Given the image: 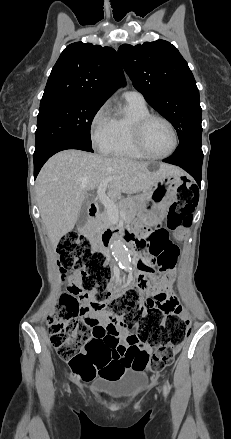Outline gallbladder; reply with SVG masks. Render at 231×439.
Instances as JSON below:
<instances>
[{
  "label": "gallbladder",
  "instance_id": "1",
  "mask_svg": "<svg viewBox=\"0 0 231 439\" xmlns=\"http://www.w3.org/2000/svg\"><path fill=\"white\" fill-rule=\"evenodd\" d=\"M87 209H88V200L85 199L83 204H82V207H81V210L79 213V217H78V221H77V224L80 227H83L87 221Z\"/></svg>",
  "mask_w": 231,
  "mask_h": 439
}]
</instances>
